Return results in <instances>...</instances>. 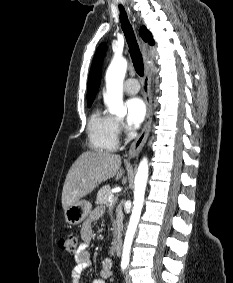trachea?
Instances as JSON below:
<instances>
[{
  "instance_id": "1",
  "label": "trachea",
  "mask_w": 233,
  "mask_h": 283,
  "mask_svg": "<svg viewBox=\"0 0 233 283\" xmlns=\"http://www.w3.org/2000/svg\"><path fill=\"white\" fill-rule=\"evenodd\" d=\"M119 8L121 10L120 11V22H121L122 30L125 34L128 46H129V51H130V55L132 58L134 68L138 75L143 76L144 64H143L141 52L139 50V46L137 44V41L134 35V31L132 29L131 24L128 21L124 8L123 7H119Z\"/></svg>"
}]
</instances>
